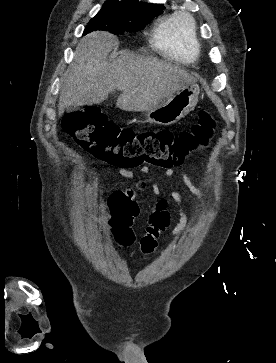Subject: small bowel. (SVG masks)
Wrapping results in <instances>:
<instances>
[{"instance_id": "small-bowel-1", "label": "small bowel", "mask_w": 276, "mask_h": 363, "mask_svg": "<svg viewBox=\"0 0 276 363\" xmlns=\"http://www.w3.org/2000/svg\"><path fill=\"white\" fill-rule=\"evenodd\" d=\"M140 171L142 173H148L149 168L147 166L140 167ZM117 173L121 175L124 178L131 179L133 178V172L131 170L125 169V168H119L117 169ZM167 177H172L174 174L173 169L168 168L165 172ZM181 177L183 180V183L188 188V190L191 192V194L197 198L201 204H206V196L202 192L200 188H198L191 178L185 174L181 173ZM145 188V183L143 181L139 182L136 188H128L125 190H118L111 194L110 200H109V208L112 210L113 208H117L120 211H122L128 218L129 226L132 225L133 221L140 215V206L136 201V193L139 190H143ZM171 197L178 205V213L179 218L177 222L174 224L172 228L168 230V234L171 237H177L179 235H182L186 232L185 227L188 221L187 214L183 207V200L182 197L178 192L175 190L171 191ZM166 205L167 201L165 199H160L155 204V211L151 215V220L149 225L146 228V233H154V236L157 240V238L168 229L169 224V215L166 211ZM159 220L161 222L165 223V226L163 228H158L153 226L152 220Z\"/></svg>"}]
</instances>
